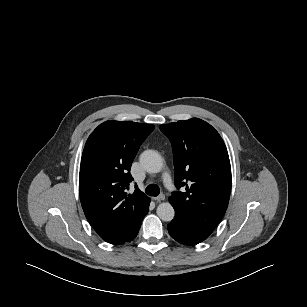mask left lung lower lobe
Listing matches in <instances>:
<instances>
[{"label":"left lung lower lobe","mask_w":307,"mask_h":307,"mask_svg":"<svg viewBox=\"0 0 307 307\" xmlns=\"http://www.w3.org/2000/svg\"><path fill=\"white\" fill-rule=\"evenodd\" d=\"M167 228L171 237L184 245H196L209 236L188 224L178 215H175Z\"/></svg>","instance_id":"1"}]
</instances>
